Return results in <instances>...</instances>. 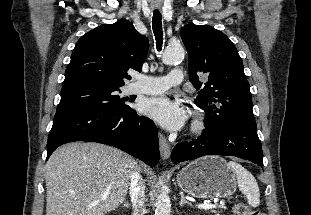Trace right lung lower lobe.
I'll list each match as a JSON object with an SVG mask.
<instances>
[{
  "label": "right lung lower lobe",
  "instance_id": "98d812e1",
  "mask_svg": "<svg viewBox=\"0 0 311 215\" xmlns=\"http://www.w3.org/2000/svg\"><path fill=\"white\" fill-rule=\"evenodd\" d=\"M87 141L107 144L141 159L150 166L159 161V140L155 124L129 109L104 112L87 108L56 111L48 136L47 158L60 145Z\"/></svg>",
  "mask_w": 311,
  "mask_h": 215
}]
</instances>
